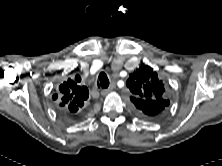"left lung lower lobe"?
Here are the masks:
<instances>
[{"label": "left lung lower lobe", "instance_id": "0a47b994", "mask_svg": "<svg viewBox=\"0 0 222 166\" xmlns=\"http://www.w3.org/2000/svg\"><path fill=\"white\" fill-rule=\"evenodd\" d=\"M165 102H167V104L169 105V101L166 100Z\"/></svg>", "mask_w": 222, "mask_h": 166}]
</instances>
